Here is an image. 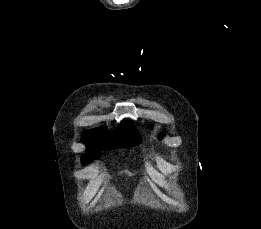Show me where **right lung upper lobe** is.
Here are the masks:
<instances>
[{
	"label": "right lung upper lobe",
	"instance_id": "1",
	"mask_svg": "<svg viewBox=\"0 0 261 229\" xmlns=\"http://www.w3.org/2000/svg\"><path fill=\"white\" fill-rule=\"evenodd\" d=\"M132 126L129 122L123 123L119 130L113 135L107 134L104 130L95 129L84 133L83 139L87 144V150H105L108 148H121L128 145L122 134V130Z\"/></svg>",
	"mask_w": 261,
	"mask_h": 229
}]
</instances>
